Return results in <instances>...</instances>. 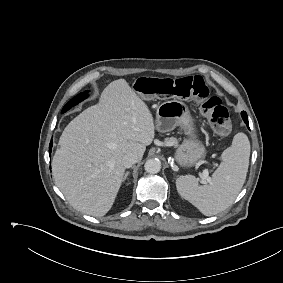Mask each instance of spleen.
<instances>
[{
  "mask_svg": "<svg viewBox=\"0 0 283 283\" xmlns=\"http://www.w3.org/2000/svg\"><path fill=\"white\" fill-rule=\"evenodd\" d=\"M250 156V143L244 133H237L232 145L222 153V162L209 184L199 186L192 175L176 179L178 193L199 211L212 216L228 208L235 200L246 179Z\"/></svg>",
  "mask_w": 283,
  "mask_h": 283,
  "instance_id": "spleen-1",
  "label": "spleen"
}]
</instances>
